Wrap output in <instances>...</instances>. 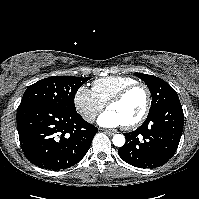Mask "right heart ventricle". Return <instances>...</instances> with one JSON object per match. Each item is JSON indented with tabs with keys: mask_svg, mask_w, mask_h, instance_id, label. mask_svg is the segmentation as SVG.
<instances>
[{
	"mask_svg": "<svg viewBox=\"0 0 199 199\" xmlns=\"http://www.w3.org/2000/svg\"><path fill=\"white\" fill-rule=\"evenodd\" d=\"M136 82L126 76H109L97 79L92 84V92L105 105L125 86Z\"/></svg>",
	"mask_w": 199,
	"mask_h": 199,
	"instance_id": "e07e8e85",
	"label": "right heart ventricle"
}]
</instances>
